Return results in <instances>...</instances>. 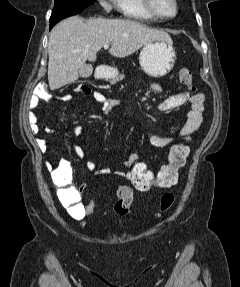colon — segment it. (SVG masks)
I'll return each mask as SVG.
<instances>
[{
  "label": "colon",
  "instance_id": "obj_1",
  "mask_svg": "<svg viewBox=\"0 0 240 287\" xmlns=\"http://www.w3.org/2000/svg\"><path fill=\"white\" fill-rule=\"evenodd\" d=\"M179 79L190 92H195L192 74L188 69H181ZM38 94L45 97L44 91L39 90ZM190 152L188 142L175 144L170 148L167 161L157 170L152 169L143 159L134 162L127 172V180L140 191H146L151 187L167 188L177 183L179 170L183 167ZM53 181L61 186L62 192L75 190L71 186L72 170L70 164L61 160L51 173ZM82 189V187L80 188ZM133 202V191L127 185H120L117 189V201L114 204V211L118 216H126ZM174 202L173 194L167 193L162 196L160 210L165 212L171 208ZM96 198L91 195L85 202L84 207L87 215H92L95 210Z\"/></svg>",
  "mask_w": 240,
  "mask_h": 287
}]
</instances>
